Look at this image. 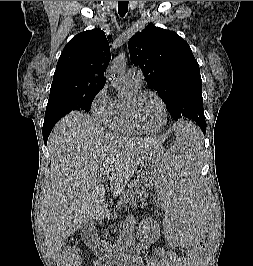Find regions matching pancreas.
Instances as JSON below:
<instances>
[{"label":"pancreas","mask_w":253,"mask_h":266,"mask_svg":"<svg viewBox=\"0 0 253 266\" xmlns=\"http://www.w3.org/2000/svg\"><path fill=\"white\" fill-rule=\"evenodd\" d=\"M146 188L147 182L144 177L140 180L132 182L127 193L123 197H121L120 204H135L140 201H145L147 198Z\"/></svg>","instance_id":"cf45deb5"}]
</instances>
